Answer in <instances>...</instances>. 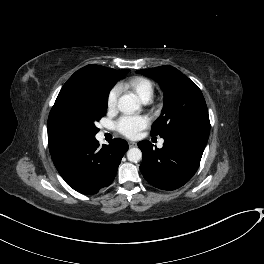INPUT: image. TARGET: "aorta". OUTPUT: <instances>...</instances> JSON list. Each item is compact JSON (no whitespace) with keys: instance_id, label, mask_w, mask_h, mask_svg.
<instances>
[{"instance_id":"1","label":"aorta","mask_w":264,"mask_h":264,"mask_svg":"<svg viewBox=\"0 0 264 264\" xmlns=\"http://www.w3.org/2000/svg\"><path fill=\"white\" fill-rule=\"evenodd\" d=\"M118 109L125 114H133L140 109V101L134 94H125L118 100ZM127 158L130 162H138L142 158L139 148H130L127 151Z\"/></svg>"}]
</instances>
